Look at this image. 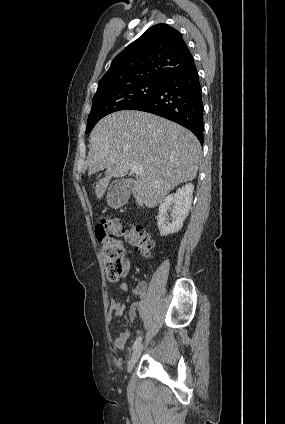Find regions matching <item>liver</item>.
<instances>
[{
    "label": "liver",
    "mask_w": 285,
    "mask_h": 424,
    "mask_svg": "<svg viewBox=\"0 0 285 424\" xmlns=\"http://www.w3.org/2000/svg\"><path fill=\"white\" fill-rule=\"evenodd\" d=\"M89 141L88 175L106 169L95 186L98 199L113 177L127 175L131 164L143 170L134 185L140 207H156L177 185L197 175L198 139L188 129L151 113H112L97 123Z\"/></svg>",
    "instance_id": "6515ba94"
}]
</instances>
